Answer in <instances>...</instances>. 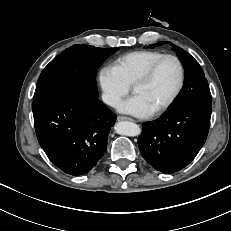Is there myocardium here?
<instances>
[{
    "mask_svg": "<svg viewBox=\"0 0 231 231\" xmlns=\"http://www.w3.org/2000/svg\"><path fill=\"white\" fill-rule=\"evenodd\" d=\"M165 59H172L177 63L178 68H179V81H178V84L175 90L170 95V97L164 103H162L159 107H157L153 111V114H160L164 112L165 110H167L180 95L184 87V84H185V67L181 59L174 54H163L162 56L154 60L132 84V89L134 90L138 85L144 84L147 81H149L150 78L153 76L158 65Z\"/></svg>",
    "mask_w": 231,
    "mask_h": 231,
    "instance_id": "1",
    "label": "myocardium"
}]
</instances>
